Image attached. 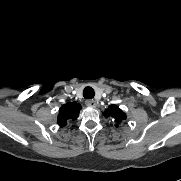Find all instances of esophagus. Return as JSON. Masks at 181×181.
<instances>
[{
	"mask_svg": "<svg viewBox=\"0 0 181 181\" xmlns=\"http://www.w3.org/2000/svg\"><path fill=\"white\" fill-rule=\"evenodd\" d=\"M86 105H87L88 107L95 108V107L97 106V103H96L95 100L89 99V100L86 101Z\"/></svg>",
	"mask_w": 181,
	"mask_h": 181,
	"instance_id": "34e87169",
	"label": "esophagus"
}]
</instances>
